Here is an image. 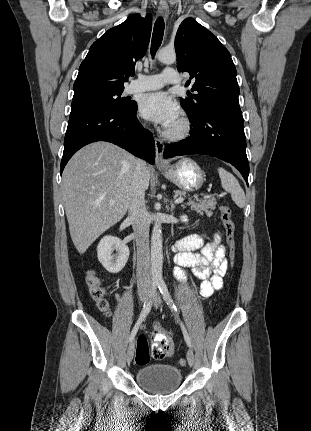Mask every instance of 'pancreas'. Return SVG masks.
<instances>
[{
  "mask_svg": "<svg viewBox=\"0 0 311 431\" xmlns=\"http://www.w3.org/2000/svg\"><path fill=\"white\" fill-rule=\"evenodd\" d=\"M175 194H178L180 198L186 196V192H179V190L175 192ZM193 198L198 200V202H193V200L188 202L187 206H190L191 210H195L200 216H204V214L208 217L212 216L213 210H215L217 204L216 198H209V200H199L198 196H193Z\"/></svg>",
  "mask_w": 311,
  "mask_h": 431,
  "instance_id": "obj_1",
  "label": "pancreas"
}]
</instances>
